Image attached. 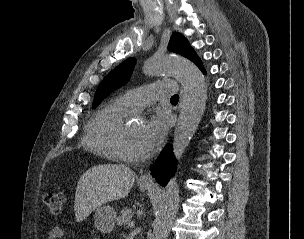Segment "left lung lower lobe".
I'll return each instance as SVG.
<instances>
[{
  "label": "left lung lower lobe",
  "mask_w": 304,
  "mask_h": 239,
  "mask_svg": "<svg viewBox=\"0 0 304 239\" xmlns=\"http://www.w3.org/2000/svg\"><path fill=\"white\" fill-rule=\"evenodd\" d=\"M197 66L204 74L206 73L201 61ZM175 165L176 160L173 156L172 146L167 145L156 160L154 167H152V175L159 184L166 186L170 177H172L175 172Z\"/></svg>",
  "instance_id": "left-lung-lower-lobe-1"
}]
</instances>
